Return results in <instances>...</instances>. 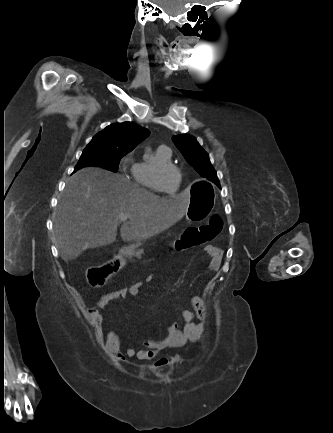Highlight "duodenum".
<instances>
[{"label": "duodenum", "instance_id": "duodenum-1", "mask_svg": "<svg viewBox=\"0 0 333 433\" xmlns=\"http://www.w3.org/2000/svg\"><path fill=\"white\" fill-rule=\"evenodd\" d=\"M144 243L141 241H139V242H135L134 244H125L124 246H123V248L118 252L121 256V258H125L127 255H129L131 258L134 256L133 254H132V251H133V249H137L140 245L142 246ZM139 245V246H138Z\"/></svg>", "mask_w": 333, "mask_h": 433}]
</instances>
